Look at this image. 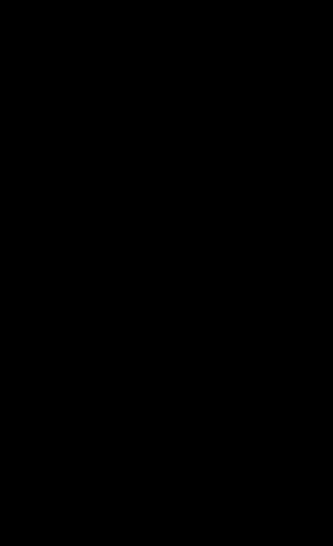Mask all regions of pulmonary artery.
Segmentation results:
<instances>
[{
	"label": "pulmonary artery",
	"mask_w": 333,
	"mask_h": 546,
	"mask_svg": "<svg viewBox=\"0 0 333 546\" xmlns=\"http://www.w3.org/2000/svg\"><path fill=\"white\" fill-rule=\"evenodd\" d=\"M76 14H89L87 12H79V13H76Z\"/></svg>",
	"instance_id": "pulmonary-artery-1"
}]
</instances>
